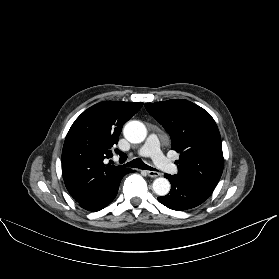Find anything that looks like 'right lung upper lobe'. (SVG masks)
Masks as SVG:
<instances>
[{
	"mask_svg": "<svg viewBox=\"0 0 279 279\" xmlns=\"http://www.w3.org/2000/svg\"><path fill=\"white\" fill-rule=\"evenodd\" d=\"M143 103L104 101L85 110L72 124L62 150V173L70 195L80 204L104 194L132 170L105 164L113 156L123 124ZM120 157L125 154L119 150Z\"/></svg>",
	"mask_w": 279,
	"mask_h": 279,
	"instance_id": "cb5924a9",
	"label": "right lung upper lobe"
}]
</instances>
